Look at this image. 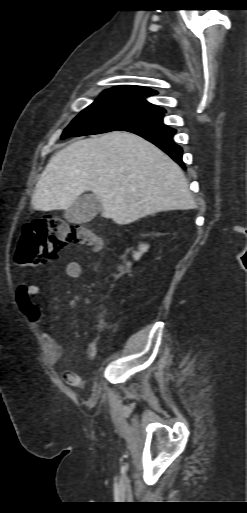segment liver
<instances>
[{
    "label": "liver",
    "mask_w": 247,
    "mask_h": 513,
    "mask_svg": "<svg viewBox=\"0 0 247 513\" xmlns=\"http://www.w3.org/2000/svg\"><path fill=\"white\" fill-rule=\"evenodd\" d=\"M87 191L101 216L130 224L147 215L196 207L182 169L141 136L113 131L78 140L53 155L31 204L35 210H67Z\"/></svg>",
    "instance_id": "obj_1"
}]
</instances>
